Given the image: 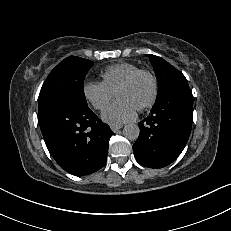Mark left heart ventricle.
Masks as SVG:
<instances>
[{
	"label": "left heart ventricle",
	"instance_id": "left-heart-ventricle-1",
	"mask_svg": "<svg viewBox=\"0 0 231 231\" xmlns=\"http://www.w3.org/2000/svg\"><path fill=\"white\" fill-rule=\"evenodd\" d=\"M152 84L147 76H140L131 86L119 90L118 99L128 101L136 109L144 104L151 95Z\"/></svg>",
	"mask_w": 231,
	"mask_h": 231
}]
</instances>
